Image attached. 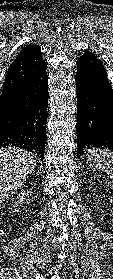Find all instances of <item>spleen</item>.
<instances>
[{
  "label": "spleen",
  "instance_id": "obj_1",
  "mask_svg": "<svg viewBox=\"0 0 113 279\" xmlns=\"http://www.w3.org/2000/svg\"><path fill=\"white\" fill-rule=\"evenodd\" d=\"M87 159L92 168L103 171L113 179V152L92 148L88 150Z\"/></svg>",
  "mask_w": 113,
  "mask_h": 279
}]
</instances>
